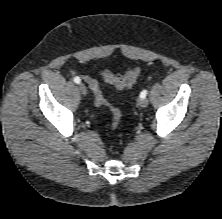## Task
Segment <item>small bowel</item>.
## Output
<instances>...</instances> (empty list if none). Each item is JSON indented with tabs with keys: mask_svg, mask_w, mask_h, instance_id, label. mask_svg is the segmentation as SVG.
Instances as JSON below:
<instances>
[{
	"mask_svg": "<svg viewBox=\"0 0 222 219\" xmlns=\"http://www.w3.org/2000/svg\"><path fill=\"white\" fill-rule=\"evenodd\" d=\"M85 80L88 83V85L90 86L91 83H95L97 84V81L91 77L85 76Z\"/></svg>",
	"mask_w": 222,
	"mask_h": 219,
	"instance_id": "small-bowel-1",
	"label": "small bowel"
}]
</instances>
